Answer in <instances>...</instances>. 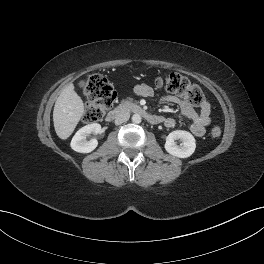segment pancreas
<instances>
[{"label": "pancreas", "mask_w": 264, "mask_h": 264, "mask_svg": "<svg viewBox=\"0 0 264 264\" xmlns=\"http://www.w3.org/2000/svg\"><path fill=\"white\" fill-rule=\"evenodd\" d=\"M132 102V99L122 101L121 105H128Z\"/></svg>", "instance_id": "1"}]
</instances>
